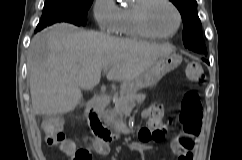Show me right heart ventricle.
I'll return each mask as SVG.
<instances>
[{"label": "right heart ventricle", "instance_id": "obj_1", "mask_svg": "<svg viewBox=\"0 0 242 160\" xmlns=\"http://www.w3.org/2000/svg\"><path fill=\"white\" fill-rule=\"evenodd\" d=\"M139 0H134V4L129 7H120L118 13V21L116 25L115 33L126 38L132 39H146L145 35H143L135 26L132 16L133 6Z\"/></svg>", "mask_w": 242, "mask_h": 160}]
</instances>
